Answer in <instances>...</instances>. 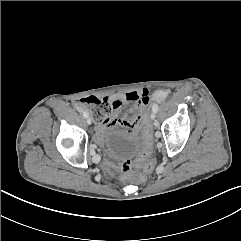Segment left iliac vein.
Wrapping results in <instances>:
<instances>
[{"label": "left iliac vein", "instance_id": "4c4485c4", "mask_svg": "<svg viewBox=\"0 0 241 241\" xmlns=\"http://www.w3.org/2000/svg\"><path fill=\"white\" fill-rule=\"evenodd\" d=\"M150 117H151L152 120H154L155 119V112H152Z\"/></svg>", "mask_w": 241, "mask_h": 241}]
</instances>
